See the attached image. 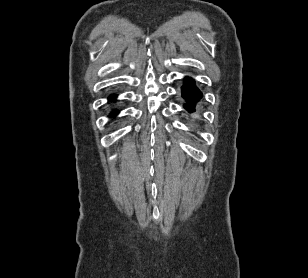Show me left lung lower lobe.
I'll return each mask as SVG.
<instances>
[{
    "instance_id": "0a47b994",
    "label": "left lung lower lobe",
    "mask_w": 308,
    "mask_h": 278,
    "mask_svg": "<svg viewBox=\"0 0 308 278\" xmlns=\"http://www.w3.org/2000/svg\"><path fill=\"white\" fill-rule=\"evenodd\" d=\"M182 97L185 98L186 104L184 107L190 113L195 111V104L202 97V93L195 86L194 81L191 78H186L185 84L181 88Z\"/></svg>"
}]
</instances>
